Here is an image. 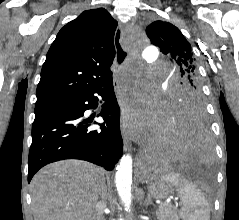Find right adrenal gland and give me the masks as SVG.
<instances>
[{
	"label": "right adrenal gland",
	"mask_w": 239,
	"mask_h": 220,
	"mask_svg": "<svg viewBox=\"0 0 239 220\" xmlns=\"http://www.w3.org/2000/svg\"><path fill=\"white\" fill-rule=\"evenodd\" d=\"M106 192H107V187H106V185H104V186L102 187L101 193H100V195H101V197H102L103 199H105Z\"/></svg>",
	"instance_id": "obj_1"
}]
</instances>
